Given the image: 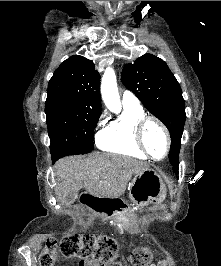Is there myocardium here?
<instances>
[{"label": "myocardium", "instance_id": "myocardium-1", "mask_svg": "<svg viewBox=\"0 0 221 266\" xmlns=\"http://www.w3.org/2000/svg\"><path fill=\"white\" fill-rule=\"evenodd\" d=\"M154 123L156 124L159 129L162 131L164 137H165V141H166V149H165V153L161 158H155L154 156L151 155V153L149 152L145 141H144V131L146 126L149 123ZM135 140L136 143L138 144V146L140 147V149L146 154V156L154 161H162L164 160L171 149V138H170V134L168 129L166 128V126L156 117L154 116H149V115H144L142 118H140L135 125Z\"/></svg>", "mask_w": 221, "mask_h": 266}]
</instances>
